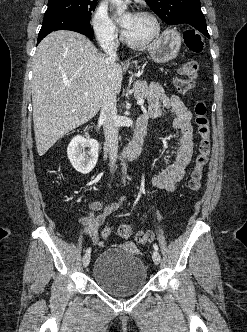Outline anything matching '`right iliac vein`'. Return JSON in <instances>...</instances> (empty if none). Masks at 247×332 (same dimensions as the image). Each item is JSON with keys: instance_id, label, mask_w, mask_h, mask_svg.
<instances>
[{"instance_id": "obj_1", "label": "right iliac vein", "mask_w": 247, "mask_h": 332, "mask_svg": "<svg viewBox=\"0 0 247 332\" xmlns=\"http://www.w3.org/2000/svg\"><path fill=\"white\" fill-rule=\"evenodd\" d=\"M90 260H91L90 253L85 254L84 257H83V260H82L84 267H87L89 265Z\"/></svg>"}]
</instances>
